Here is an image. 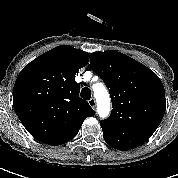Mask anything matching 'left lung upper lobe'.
<instances>
[{
    "label": "left lung upper lobe",
    "mask_w": 178,
    "mask_h": 178,
    "mask_svg": "<svg viewBox=\"0 0 178 178\" xmlns=\"http://www.w3.org/2000/svg\"><path fill=\"white\" fill-rule=\"evenodd\" d=\"M90 68L101 77L111 96V115L100 122L107 144L118 150L144 144L165 113L160 78L140 62L114 50L92 53Z\"/></svg>",
    "instance_id": "5c2ea615"
}]
</instances>
